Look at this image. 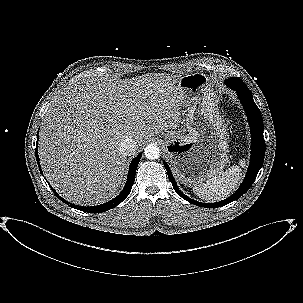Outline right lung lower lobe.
<instances>
[{
	"label": "right lung lower lobe",
	"mask_w": 303,
	"mask_h": 303,
	"mask_svg": "<svg viewBox=\"0 0 303 303\" xmlns=\"http://www.w3.org/2000/svg\"><path fill=\"white\" fill-rule=\"evenodd\" d=\"M35 152H36V160H37L40 172H41L39 156H38V144L37 143H36V151ZM141 156H142V154L140 153L135 159L132 160V162L130 163L128 177H127V181H126V184L124 186V189L122 190V192L117 197H115L111 201H109L107 203H104V204H101V205L91 206V207L77 206V205H74V204L69 203V202H66V203L69 204L70 206L74 207V208H77L78 210H82V211L90 212V213H101V212H105L107 210H110V209L116 207L131 192L132 185L135 181L136 169H137V166H138V163L140 161ZM55 194L57 195L58 198H60L62 201H64V199L62 197H60L56 192H55Z\"/></svg>",
	"instance_id": "98d812e1"
}]
</instances>
